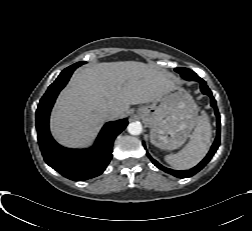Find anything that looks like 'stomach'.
<instances>
[{
    "mask_svg": "<svg viewBox=\"0 0 252 231\" xmlns=\"http://www.w3.org/2000/svg\"><path fill=\"white\" fill-rule=\"evenodd\" d=\"M151 128L150 140L164 150H174L185 143L196 125L198 108L191 95L182 88L165 93L137 110Z\"/></svg>",
    "mask_w": 252,
    "mask_h": 231,
    "instance_id": "1",
    "label": "stomach"
}]
</instances>
